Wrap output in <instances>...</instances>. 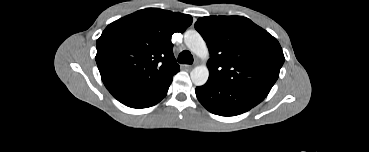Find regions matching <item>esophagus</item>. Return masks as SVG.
<instances>
[{
    "label": "esophagus",
    "instance_id": "34e87169",
    "mask_svg": "<svg viewBox=\"0 0 369 152\" xmlns=\"http://www.w3.org/2000/svg\"><path fill=\"white\" fill-rule=\"evenodd\" d=\"M196 65V63L192 64V65H185V68L187 70H191L194 66Z\"/></svg>",
    "mask_w": 369,
    "mask_h": 152
}]
</instances>
